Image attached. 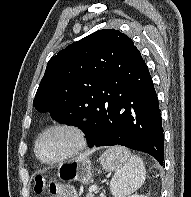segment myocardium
<instances>
[{
	"mask_svg": "<svg viewBox=\"0 0 191 197\" xmlns=\"http://www.w3.org/2000/svg\"><path fill=\"white\" fill-rule=\"evenodd\" d=\"M53 130H66V131L71 132L75 138V145L69 152H67L63 156L54 160L47 161V160L42 159L40 156L39 144H40L41 139L47 133ZM86 145H87V134H86L85 129L81 125L72 121H58V122L49 124L38 134L35 140V144H34V153H35L37 160L40 163L44 165L52 166V165L62 163L68 159L75 157L76 155H78L80 152L84 150Z\"/></svg>",
	"mask_w": 191,
	"mask_h": 197,
	"instance_id": "myocardium-1",
	"label": "myocardium"
}]
</instances>
